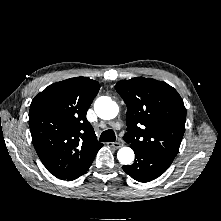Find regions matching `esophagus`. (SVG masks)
I'll return each instance as SVG.
<instances>
[{
    "mask_svg": "<svg viewBox=\"0 0 221 221\" xmlns=\"http://www.w3.org/2000/svg\"><path fill=\"white\" fill-rule=\"evenodd\" d=\"M108 146H109V147H113V148H115V149H118V148L122 147L123 144L120 143V142H114V143H108Z\"/></svg>",
    "mask_w": 221,
    "mask_h": 221,
    "instance_id": "34e87169",
    "label": "esophagus"
}]
</instances>
